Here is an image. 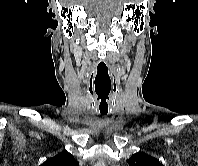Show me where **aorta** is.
Wrapping results in <instances>:
<instances>
[{"instance_id": "762f6f07", "label": "aorta", "mask_w": 198, "mask_h": 166, "mask_svg": "<svg viewBox=\"0 0 198 166\" xmlns=\"http://www.w3.org/2000/svg\"><path fill=\"white\" fill-rule=\"evenodd\" d=\"M95 166H105L104 163H97Z\"/></svg>"}]
</instances>
